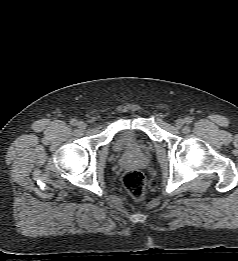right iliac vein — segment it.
Masks as SVG:
<instances>
[{
  "instance_id": "obj_1",
  "label": "right iliac vein",
  "mask_w": 238,
  "mask_h": 261,
  "mask_svg": "<svg viewBox=\"0 0 238 261\" xmlns=\"http://www.w3.org/2000/svg\"><path fill=\"white\" fill-rule=\"evenodd\" d=\"M77 126H78V128L80 130H85L86 129V124L84 122H82V121L78 122Z\"/></svg>"
}]
</instances>
